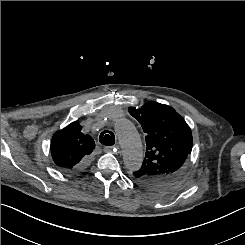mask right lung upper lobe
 <instances>
[{"label": "right lung upper lobe", "instance_id": "obj_1", "mask_svg": "<svg viewBox=\"0 0 245 245\" xmlns=\"http://www.w3.org/2000/svg\"><path fill=\"white\" fill-rule=\"evenodd\" d=\"M94 147L93 138L83 134L79 122L75 121L53 135L51 154L59 168L70 171L89 158Z\"/></svg>", "mask_w": 245, "mask_h": 245}]
</instances>
